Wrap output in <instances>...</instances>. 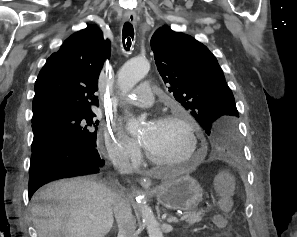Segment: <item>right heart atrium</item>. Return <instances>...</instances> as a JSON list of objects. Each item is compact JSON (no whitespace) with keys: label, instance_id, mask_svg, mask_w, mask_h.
Returning <instances> with one entry per match:
<instances>
[{"label":"right heart atrium","instance_id":"1","mask_svg":"<svg viewBox=\"0 0 297 237\" xmlns=\"http://www.w3.org/2000/svg\"><path fill=\"white\" fill-rule=\"evenodd\" d=\"M106 154L109 159L119 165H136L139 162L140 149L120 133L113 125L106 127Z\"/></svg>","mask_w":297,"mask_h":237}]
</instances>
